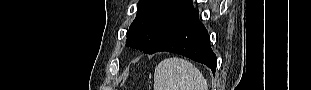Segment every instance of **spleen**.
Segmentation results:
<instances>
[{"label": "spleen", "mask_w": 311, "mask_h": 90, "mask_svg": "<svg viewBox=\"0 0 311 90\" xmlns=\"http://www.w3.org/2000/svg\"><path fill=\"white\" fill-rule=\"evenodd\" d=\"M154 90H208L207 80L189 61L167 58L155 68Z\"/></svg>", "instance_id": "spleen-1"}]
</instances>
